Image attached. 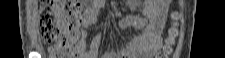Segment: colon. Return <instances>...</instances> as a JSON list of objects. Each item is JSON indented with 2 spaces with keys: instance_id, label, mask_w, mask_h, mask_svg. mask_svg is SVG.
Segmentation results:
<instances>
[{
  "instance_id": "5ec220e1",
  "label": "colon",
  "mask_w": 225,
  "mask_h": 58,
  "mask_svg": "<svg viewBox=\"0 0 225 58\" xmlns=\"http://www.w3.org/2000/svg\"><path fill=\"white\" fill-rule=\"evenodd\" d=\"M81 2L75 0H52L41 11L40 27L53 58H75L74 45L79 37ZM177 31H171L169 45L173 44ZM170 52L168 46L165 50Z\"/></svg>"
}]
</instances>
